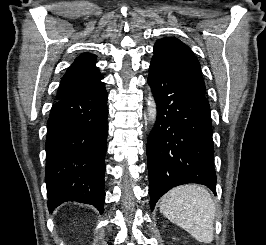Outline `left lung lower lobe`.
Returning a JSON list of instances; mask_svg holds the SVG:
<instances>
[{
	"label": "left lung lower lobe",
	"mask_w": 266,
	"mask_h": 245,
	"mask_svg": "<svg viewBox=\"0 0 266 245\" xmlns=\"http://www.w3.org/2000/svg\"><path fill=\"white\" fill-rule=\"evenodd\" d=\"M148 83L157 105V121L147 142L151 210L162 195L182 184H203L216 194L212 124L205 93L154 60Z\"/></svg>",
	"instance_id": "1"
}]
</instances>
